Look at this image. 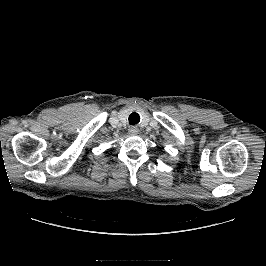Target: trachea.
Listing matches in <instances>:
<instances>
[{
	"mask_svg": "<svg viewBox=\"0 0 266 266\" xmlns=\"http://www.w3.org/2000/svg\"><path fill=\"white\" fill-rule=\"evenodd\" d=\"M140 121V116H139V114L138 113H131L130 115H129V123L131 124V125H135V124H137L138 122Z\"/></svg>",
	"mask_w": 266,
	"mask_h": 266,
	"instance_id": "1",
	"label": "trachea"
}]
</instances>
